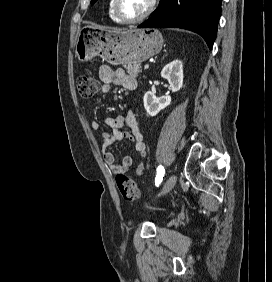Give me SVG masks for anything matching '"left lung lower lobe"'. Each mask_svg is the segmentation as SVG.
Here are the masks:
<instances>
[{"mask_svg": "<svg viewBox=\"0 0 272 282\" xmlns=\"http://www.w3.org/2000/svg\"><path fill=\"white\" fill-rule=\"evenodd\" d=\"M220 14L221 0H160L156 13L138 28L191 30L200 34L211 49Z\"/></svg>", "mask_w": 272, "mask_h": 282, "instance_id": "obj_1", "label": "left lung lower lobe"}]
</instances>
